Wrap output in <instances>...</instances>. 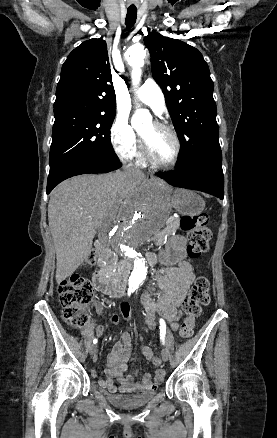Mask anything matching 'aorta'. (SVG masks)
Segmentation results:
<instances>
[{"instance_id": "obj_1", "label": "aorta", "mask_w": 277, "mask_h": 438, "mask_svg": "<svg viewBox=\"0 0 277 438\" xmlns=\"http://www.w3.org/2000/svg\"><path fill=\"white\" fill-rule=\"evenodd\" d=\"M126 58L132 67V81L138 85L144 65L145 50L141 44L131 46ZM151 121L150 113L138 109L132 117L133 127ZM171 209L170 198L164 187L149 184L138 189L129 199L119 221L109 234L111 247L133 263L128 292H134L147 276V265L140 250L150 237L163 227Z\"/></svg>"}]
</instances>
